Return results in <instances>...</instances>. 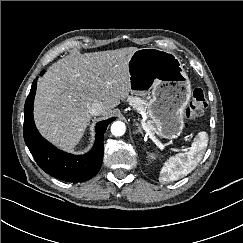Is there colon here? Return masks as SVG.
I'll use <instances>...</instances> for the list:
<instances>
[{
	"instance_id": "5ec220e1",
	"label": "colon",
	"mask_w": 243,
	"mask_h": 243,
	"mask_svg": "<svg viewBox=\"0 0 243 243\" xmlns=\"http://www.w3.org/2000/svg\"><path fill=\"white\" fill-rule=\"evenodd\" d=\"M207 106V100L204 91L200 87L194 88L191 101L183 108L182 117L187 122L202 114Z\"/></svg>"
}]
</instances>
